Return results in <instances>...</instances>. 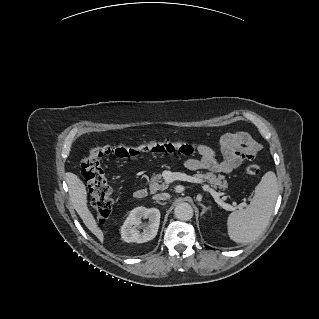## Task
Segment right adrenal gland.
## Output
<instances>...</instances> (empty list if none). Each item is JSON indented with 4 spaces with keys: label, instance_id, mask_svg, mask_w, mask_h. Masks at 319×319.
Returning <instances> with one entry per match:
<instances>
[{
    "label": "right adrenal gland",
    "instance_id": "1",
    "mask_svg": "<svg viewBox=\"0 0 319 319\" xmlns=\"http://www.w3.org/2000/svg\"><path fill=\"white\" fill-rule=\"evenodd\" d=\"M158 204H160V205H165L166 203H161V202H157Z\"/></svg>",
    "mask_w": 319,
    "mask_h": 319
}]
</instances>
